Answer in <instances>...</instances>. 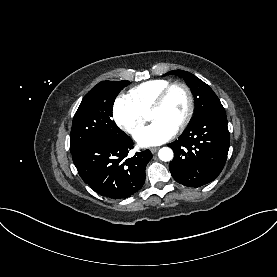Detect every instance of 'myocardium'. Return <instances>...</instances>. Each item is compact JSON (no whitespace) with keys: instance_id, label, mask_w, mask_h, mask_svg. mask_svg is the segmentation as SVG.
I'll list each match as a JSON object with an SVG mask.
<instances>
[{"instance_id":"f54148a6","label":"myocardium","mask_w":277,"mask_h":277,"mask_svg":"<svg viewBox=\"0 0 277 277\" xmlns=\"http://www.w3.org/2000/svg\"><path fill=\"white\" fill-rule=\"evenodd\" d=\"M182 88L188 98V108H187V112L185 117L183 118V120L181 121V123L177 126L176 130L177 131H181L183 130L191 121L192 116L194 114V110H195V101H194V95L193 92L191 90V88L184 82H173L170 83L168 86H166L161 92L160 94L157 96V98L155 99V101L153 102V104L151 105L149 112H153L156 111L158 109H160L166 102L169 94L171 93V91L174 88Z\"/></svg>"}]
</instances>
